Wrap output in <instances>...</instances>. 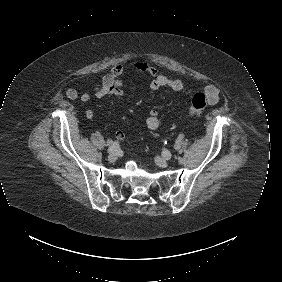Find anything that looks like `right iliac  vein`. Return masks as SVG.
<instances>
[{
	"label": "right iliac vein",
	"mask_w": 282,
	"mask_h": 282,
	"mask_svg": "<svg viewBox=\"0 0 282 282\" xmlns=\"http://www.w3.org/2000/svg\"><path fill=\"white\" fill-rule=\"evenodd\" d=\"M108 160L110 162H115L117 160V154L114 153V152L110 153L109 156H108Z\"/></svg>",
	"instance_id": "1"
}]
</instances>
